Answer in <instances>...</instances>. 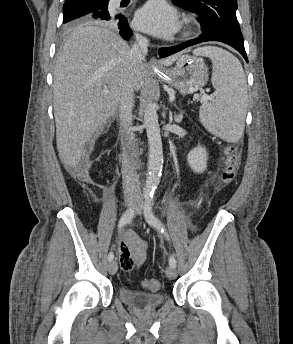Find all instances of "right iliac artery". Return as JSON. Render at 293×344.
Listing matches in <instances>:
<instances>
[{"label":"right iliac artery","instance_id":"1","mask_svg":"<svg viewBox=\"0 0 293 344\" xmlns=\"http://www.w3.org/2000/svg\"><path fill=\"white\" fill-rule=\"evenodd\" d=\"M135 211H136V207H131L123 213L118 223V229H122L125 225L131 222V220L135 216ZM113 259H114V254L110 252L108 254V261H112Z\"/></svg>","mask_w":293,"mask_h":344}]
</instances>
